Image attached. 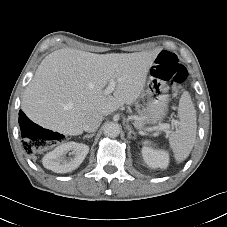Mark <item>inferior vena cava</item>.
<instances>
[{"label":"inferior vena cava","mask_w":227,"mask_h":227,"mask_svg":"<svg viewBox=\"0 0 227 227\" xmlns=\"http://www.w3.org/2000/svg\"><path fill=\"white\" fill-rule=\"evenodd\" d=\"M103 119L99 113L90 114L86 117L83 129L87 132H94L98 129Z\"/></svg>","instance_id":"inferior-vena-cava-1"}]
</instances>
